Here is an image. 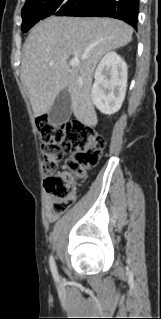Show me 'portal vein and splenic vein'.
<instances>
[{"label":"portal vein and splenic vein","instance_id":"obj_1","mask_svg":"<svg viewBox=\"0 0 161 319\" xmlns=\"http://www.w3.org/2000/svg\"><path fill=\"white\" fill-rule=\"evenodd\" d=\"M79 63H80V60L78 58H72L70 60L71 67H77L79 65Z\"/></svg>","mask_w":161,"mask_h":319}]
</instances>
